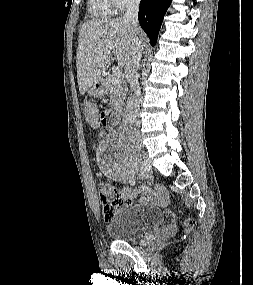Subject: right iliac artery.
Instances as JSON below:
<instances>
[{
  "mask_svg": "<svg viewBox=\"0 0 253 285\" xmlns=\"http://www.w3.org/2000/svg\"><path fill=\"white\" fill-rule=\"evenodd\" d=\"M128 183H129L131 186H134L135 183H136L134 177H129V178H128Z\"/></svg>",
  "mask_w": 253,
  "mask_h": 285,
  "instance_id": "right-iliac-artery-1",
  "label": "right iliac artery"
}]
</instances>
